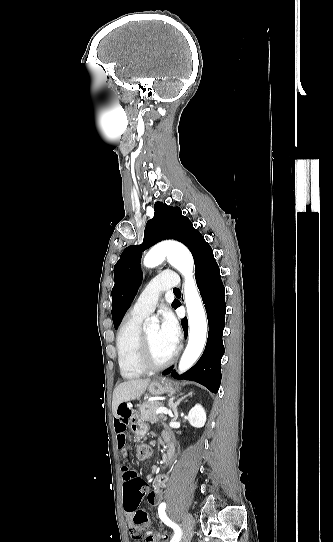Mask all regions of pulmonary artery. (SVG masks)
Masks as SVG:
<instances>
[{
  "label": "pulmonary artery",
  "mask_w": 333,
  "mask_h": 542,
  "mask_svg": "<svg viewBox=\"0 0 333 542\" xmlns=\"http://www.w3.org/2000/svg\"><path fill=\"white\" fill-rule=\"evenodd\" d=\"M168 271H163L155 278L149 280L142 292L132 306L130 313L133 316L145 317L152 313L158 304L159 297L163 292H168L171 288L179 287L180 281L176 274ZM156 291V292H155Z\"/></svg>",
  "instance_id": "obj_1"
}]
</instances>
